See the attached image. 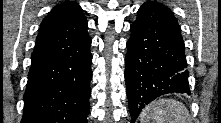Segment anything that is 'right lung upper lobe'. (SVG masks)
<instances>
[{
	"mask_svg": "<svg viewBox=\"0 0 221 123\" xmlns=\"http://www.w3.org/2000/svg\"><path fill=\"white\" fill-rule=\"evenodd\" d=\"M88 29L82 8L75 2H65L54 7L41 23L36 47L58 45L74 40Z\"/></svg>",
	"mask_w": 221,
	"mask_h": 123,
	"instance_id": "1",
	"label": "right lung upper lobe"
}]
</instances>
